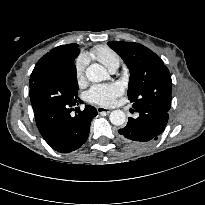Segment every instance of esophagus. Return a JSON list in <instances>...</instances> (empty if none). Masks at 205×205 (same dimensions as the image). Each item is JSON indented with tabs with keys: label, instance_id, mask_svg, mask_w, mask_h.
Here are the masks:
<instances>
[{
	"label": "esophagus",
	"instance_id": "obj_1",
	"mask_svg": "<svg viewBox=\"0 0 205 205\" xmlns=\"http://www.w3.org/2000/svg\"><path fill=\"white\" fill-rule=\"evenodd\" d=\"M97 111H98V113H106V114L111 112L110 109H107V108H104V107H97Z\"/></svg>",
	"mask_w": 205,
	"mask_h": 205
}]
</instances>
